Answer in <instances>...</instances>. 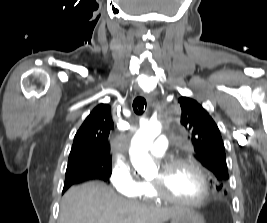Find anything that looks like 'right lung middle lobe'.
Masks as SVG:
<instances>
[{"label": "right lung middle lobe", "mask_w": 267, "mask_h": 223, "mask_svg": "<svg viewBox=\"0 0 267 223\" xmlns=\"http://www.w3.org/2000/svg\"><path fill=\"white\" fill-rule=\"evenodd\" d=\"M96 165L93 162L82 160L78 162L68 163L66 174H70L75 171L89 170L91 171ZM108 170L106 173H101L104 176V181H107L111 176V161L107 164Z\"/></svg>", "instance_id": "1"}]
</instances>
